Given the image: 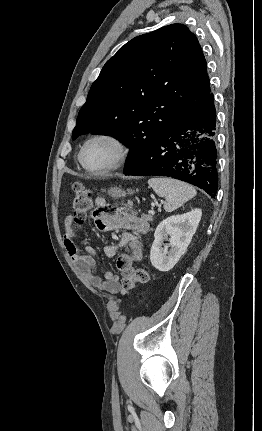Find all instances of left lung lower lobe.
Returning a JSON list of instances; mask_svg holds the SVG:
<instances>
[{"label":"left lung lower lobe","mask_w":262,"mask_h":431,"mask_svg":"<svg viewBox=\"0 0 262 431\" xmlns=\"http://www.w3.org/2000/svg\"><path fill=\"white\" fill-rule=\"evenodd\" d=\"M123 173L172 177L215 196L218 173L213 94L210 92L144 153L133 167Z\"/></svg>","instance_id":"1"}]
</instances>
